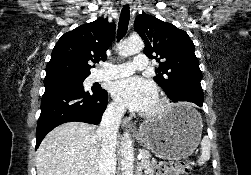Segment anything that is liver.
<instances>
[{"label": "liver", "mask_w": 251, "mask_h": 175, "mask_svg": "<svg viewBox=\"0 0 251 175\" xmlns=\"http://www.w3.org/2000/svg\"><path fill=\"white\" fill-rule=\"evenodd\" d=\"M90 123L70 121L47 133L36 153L37 175H98L101 139Z\"/></svg>", "instance_id": "6515ba94"}]
</instances>
